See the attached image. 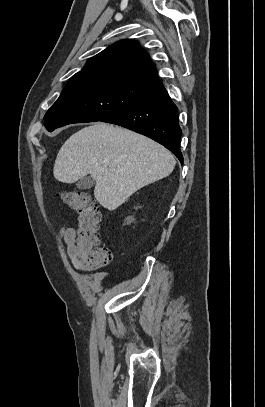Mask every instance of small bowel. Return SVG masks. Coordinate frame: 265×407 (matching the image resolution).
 <instances>
[{"instance_id": "c3829d8e", "label": "small bowel", "mask_w": 265, "mask_h": 407, "mask_svg": "<svg viewBox=\"0 0 265 407\" xmlns=\"http://www.w3.org/2000/svg\"><path fill=\"white\" fill-rule=\"evenodd\" d=\"M60 237L62 242L66 246L68 257L71 259L72 265L75 269L80 271H86V268L80 265L76 259L75 250V237L76 230L73 227H62L60 229Z\"/></svg>"}]
</instances>
